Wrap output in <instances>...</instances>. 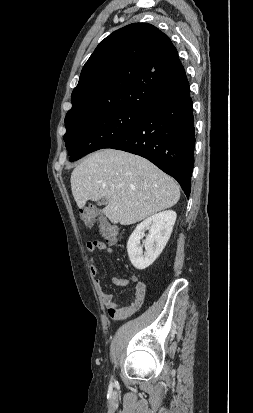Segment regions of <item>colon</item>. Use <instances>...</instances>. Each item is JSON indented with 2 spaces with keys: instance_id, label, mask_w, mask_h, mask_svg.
Instances as JSON below:
<instances>
[{
  "instance_id": "colon-1",
  "label": "colon",
  "mask_w": 253,
  "mask_h": 413,
  "mask_svg": "<svg viewBox=\"0 0 253 413\" xmlns=\"http://www.w3.org/2000/svg\"><path fill=\"white\" fill-rule=\"evenodd\" d=\"M79 215L81 220L88 227L92 226L97 221L102 236L107 243L115 244L119 240L120 234L118 233L117 228L102 215L97 206L88 204L80 209Z\"/></svg>"
}]
</instances>
